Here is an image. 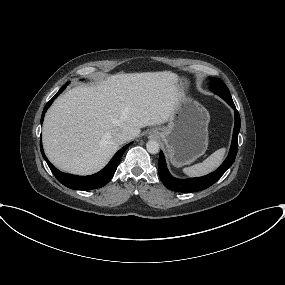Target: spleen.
<instances>
[{
    "label": "spleen",
    "mask_w": 285,
    "mask_h": 285,
    "mask_svg": "<svg viewBox=\"0 0 285 285\" xmlns=\"http://www.w3.org/2000/svg\"><path fill=\"white\" fill-rule=\"evenodd\" d=\"M225 148H221L212 153L202 163L195 164L183 169V172L188 176H202L215 170L222 162L225 155Z\"/></svg>",
    "instance_id": "3e777b00"
}]
</instances>
